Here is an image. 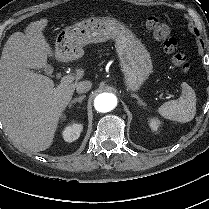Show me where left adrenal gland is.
<instances>
[{
  "label": "left adrenal gland",
  "instance_id": "1",
  "mask_svg": "<svg viewBox=\"0 0 209 209\" xmlns=\"http://www.w3.org/2000/svg\"><path fill=\"white\" fill-rule=\"evenodd\" d=\"M132 96L135 97V98L137 99L138 104H140V105H142V106H145V103L140 99L139 96H137V95H135V94H133Z\"/></svg>",
  "mask_w": 209,
  "mask_h": 209
}]
</instances>
